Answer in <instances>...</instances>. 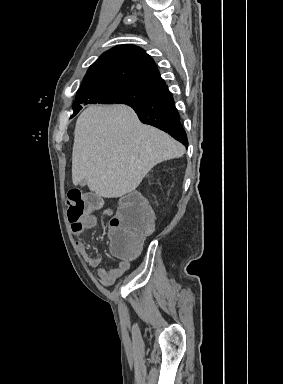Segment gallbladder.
<instances>
[{
  "mask_svg": "<svg viewBox=\"0 0 283 384\" xmlns=\"http://www.w3.org/2000/svg\"><path fill=\"white\" fill-rule=\"evenodd\" d=\"M80 186H82V188L83 186H86L85 182H80Z\"/></svg>",
  "mask_w": 283,
  "mask_h": 384,
  "instance_id": "bac80fb5",
  "label": "gallbladder"
}]
</instances>
